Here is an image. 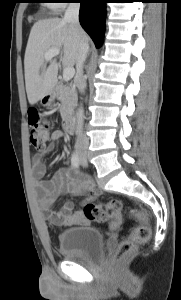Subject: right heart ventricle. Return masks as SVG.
Masks as SVG:
<instances>
[{
    "label": "right heart ventricle",
    "instance_id": "obj_1",
    "mask_svg": "<svg viewBox=\"0 0 181 300\" xmlns=\"http://www.w3.org/2000/svg\"><path fill=\"white\" fill-rule=\"evenodd\" d=\"M49 6H50L52 9H54L53 4H50ZM54 10H55V9H54Z\"/></svg>",
    "mask_w": 181,
    "mask_h": 300
}]
</instances>
